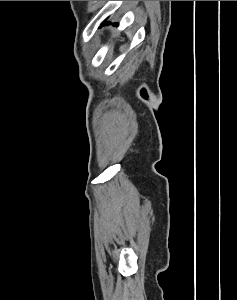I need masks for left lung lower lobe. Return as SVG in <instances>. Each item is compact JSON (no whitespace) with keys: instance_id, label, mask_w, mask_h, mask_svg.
<instances>
[{"instance_id":"left-lung-lower-lobe-1","label":"left lung lower lobe","mask_w":237,"mask_h":300,"mask_svg":"<svg viewBox=\"0 0 237 300\" xmlns=\"http://www.w3.org/2000/svg\"><path fill=\"white\" fill-rule=\"evenodd\" d=\"M102 24H103V25H105V24H109V22H103Z\"/></svg>"}]
</instances>
